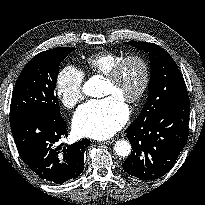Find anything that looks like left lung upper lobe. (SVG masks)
<instances>
[{
	"instance_id": "1",
	"label": "left lung upper lobe",
	"mask_w": 205,
	"mask_h": 205,
	"mask_svg": "<svg viewBox=\"0 0 205 205\" xmlns=\"http://www.w3.org/2000/svg\"><path fill=\"white\" fill-rule=\"evenodd\" d=\"M149 53L151 77L148 99L133 123L144 122L157 115L168 105L189 100L184 79L173 58L153 43L127 42Z\"/></svg>"
}]
</instances>
